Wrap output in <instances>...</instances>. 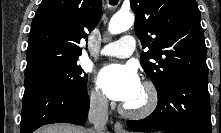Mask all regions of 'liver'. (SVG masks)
<instances>
[{"instance_id": "6515ba94", "label": "liver", "mask_w": 221, "mask_h": 133, "mask_svg": "<svg viewBox=\"0 0 221 133\" xmlns=\"http://www.w3.org/2000/svg\"><path fill=\"white\" fill-rule=\"evenodd\" d=\"M36 133H89L88 130L66 123L45 126Z\"/></svg>"}]
</instances>
